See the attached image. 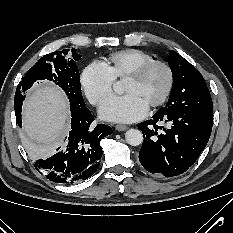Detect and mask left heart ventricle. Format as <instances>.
I'll list each match as a JSON object with an SVG mask.
<instances>
[{"label":"left heart ventricle","mask_w":233,"mask_h":233,"mask_svg":"<svg viewBox=\"0 0 233 233\" xmlns=\"http://www.w3.org/2000/svg\"><path fill=\"white\" fill-rule=\"evenodd\" d=\"M166 81L167 77L164 69L156 66L137 81L125 80L123 91L135 95L145 105L149 106L161 96Z\"/></svg>","instance_id":"1"}]
</instances>
